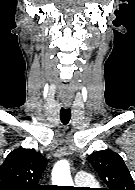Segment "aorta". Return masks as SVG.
I'll return each mask as SVG.
<instances>
[{
  "label": "aorta",
  "instance_id": "aorta-1",
  "mask_svg": "<svg viewBox=\"0 0 135 190\" xmlns=\"http://www.w3.org/2000/svg\"><path fill=\"white\" fill-rule=\"evenodd\" d=\"M53 182L59 186H72L69 163L61 160L56 163L53 169Z\"/></svg>",
  "mask_w": 135,
  "mask_h": 190
}]
</instances>
